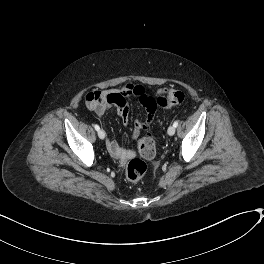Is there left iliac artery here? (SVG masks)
<instances>
[{"mask_svg": "<svg viewBox=\"0 0 264 264\" xmlns=\"http://www.w3.org/2000/svg\"><path fill=\"white\" fill-rule=\"evenodd\" d=\"M175 127L178 126V121H175L174 124H173Z\"/></svg>", "mask_w": 264, "mask_h": 264, "instance_id": "1", "label": "left iliac artery"}]
</instances>
